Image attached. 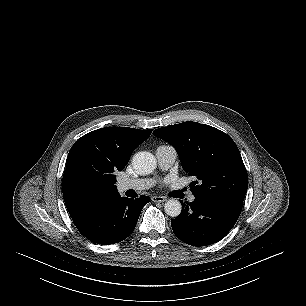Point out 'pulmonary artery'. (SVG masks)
Listing matches in <instances>:
<instances>
[{
  "label": "pulmonary artery",
  "mask_w": 306,
  "mask_h": 306,
  "mask_svg": "<svg viewBox=\"0 0 306 306\" xmlns=\"http://www.w3.org/2000/svg\"><path fill=\"white\" fill-rule=\"evenodd\" d=\"M156 158L159 167L162 170L169 169L177 157V152L174 147L170 145H160L156 149ZM154 180L151 178H139V179H123L118 181L117 188L119 192H125L127 190L142 191L149 189L154 185ZM193 195L189 196V201H194Z\"/></svg>",
  "instance_id": "1"
}]
</instances>
